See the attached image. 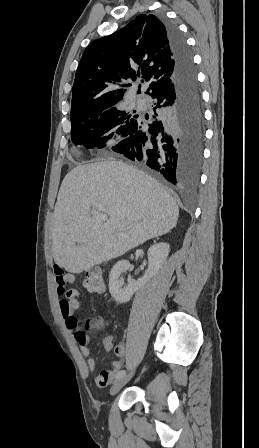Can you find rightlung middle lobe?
Instances as JSON below:
<instances>
[{
  "label": "right lung middle lobe",
  "instance_id": "dd1d6c3e",
  "mask_svg": "<svg viewBox=\"0 0 259 448\" xmlns=\"http://www.w3.org/2000/svg\"><path fill=\"white\" fill-rule=\"evenodd\" d=\"M118 110L114 106L92 108L71 114V139L77 145L87 148H103L105 142L114 137L117 144L123 139L126 129L134 122L138 115ZM114 132L104 136L109 130Z\"/></svg>",
  "mask_w": 259,
  "mask_h": 448
}]
</instances>
